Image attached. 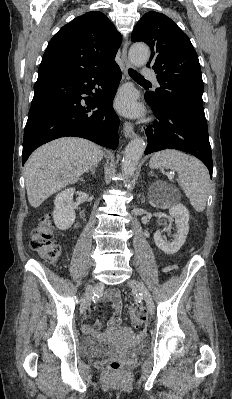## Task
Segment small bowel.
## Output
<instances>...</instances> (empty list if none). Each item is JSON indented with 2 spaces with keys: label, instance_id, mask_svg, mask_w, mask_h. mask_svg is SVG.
<instances>
[{
  "label": "small bowel",
  "instance_id": "small-bowel-1",
  "mask_svg": "<svg viewBox=\"0 0 232 399\" xmlns=\"http://www.w3.org/2000/svg\"><path fill=\"white\" fill-rule=\"evenodd\" d=\"M107 298L108 299L118 298V291L114 289L109 290L107 293ZM80 310L81 312H85L84 307H81ZM113 310H114V317L109 323L100 326V325H92L86 322H81L79 323V328L86 332H89L94 337L107 336L118 328L123 330V327L120 326V315L122 312L121 304L119 302L115 303Z\"/></svg>",
  "mask_w": 232,
  "mask_h": 399
}]
</instances>
